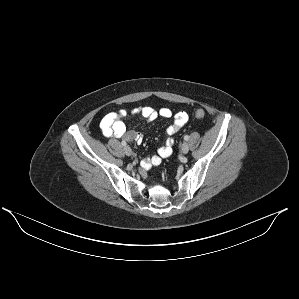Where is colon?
<instances>
[{
    "label": "colon",
    "instance_id": "5ec220e1",
    "mask_svg": "<svg viewBox=\"0 0 299 299\" xmlns=\"http://www.w3.org/2000/svg\"><path fill=\"white\" fill-rule=\"evenodd\" d=\"M196 118H203L205 116V111L203 109H198L194 113Z\"/></svg>",
    "mask_w": 299,
    "mask_h": 299
}]
</instances>
